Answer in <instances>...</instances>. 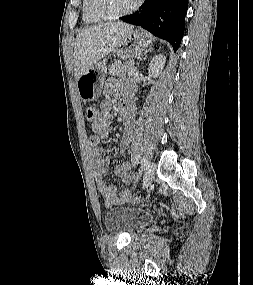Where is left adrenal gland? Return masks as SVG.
Masks as SVG:
<instances>
[{
  "label": "left adrenal gland",
  "instance_id": "1",
  "mask_svg": "<svg viewBox=\"0 0 253 285\" xmlns=\"http://www.w3.org/2000/svg\"><path fill=\"white\" fill-rule=\"evenodd\" d=\"M151 52L152 51V48H150V49H148L146 52H145V54L147 53V52ZM139 64V63H138Z\"/></svg>",
  "mask_w": 253,
  "mask_h": 285
}]
</instances>
